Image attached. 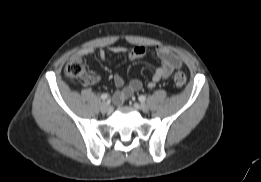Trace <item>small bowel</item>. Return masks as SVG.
Instances as JSON below:
<instances>
[{
  "instance_id": "obj_1",
  "label": "small bowel",
  "mask_w": 261,
  "mask_h": 182,
  "mask_svg": "<svg viewBox=\"0 0 261 182\" xmlns=\"http://www.w3.org/2000/svg\"><path fill=\"white\" fill-rule=\"evenodd\" d=\"M107 51L114 54H127L129 59L136 60L145 56L147 50L143 46L134 47L132 49H127L123 46H111L108 47L107 50H97L95 47L89 46L79 50L75 57L83 59L84 57L97 52L99 58L102 61H106ZM155 52L160 59L161 64L156 68L151 80L149 81V88H154L157 82L166 79L175 69H178L182 66V61L179 56L167 47L157 46ZM98 80L99 78L97 76H90L87 79V82L94 84ZM113 80L115 86L118 88L114 95V101L116 103H122L126 98L139 91L143 86L141 80L137 78L132 79L127 85H125L124 77L120 73H116Z\"/></svg>"
}]
</instances>
